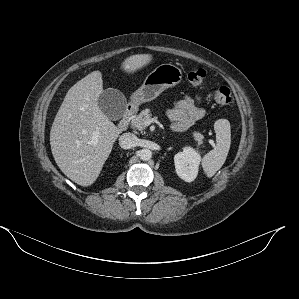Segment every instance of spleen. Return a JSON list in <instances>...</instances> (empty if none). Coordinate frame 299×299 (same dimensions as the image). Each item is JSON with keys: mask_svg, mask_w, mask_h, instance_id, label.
Masks as SVG:
<instances>
[{"mask_svg": "<svg viewBox=\"0 0 299 299\" xmlns=\"http://www.w3.org/2000/svg\"><path fill=\"white\" fill-rule=\"evenodd\" d=\"M214 130L217 144L202 159V167L207 177H212L223 166L231 144V129L227 119L217 120Z\"/></svg>", "mask_w": 299, "mask_h": 299, "instance_id": "1", "label": "spleen"}]
</instances>
